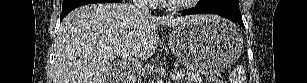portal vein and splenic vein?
Here are the masks:
<instances>
[{"instance_id": "1", "label": "portal vein and splenic vein", "mask_w": 307, "mask_h": 83, "mask_svg": "<svg viewBox=\"0 0 307 83\" xmlns=\"http://www.w3.org/2000/svg\"><path fill=\"white\" fill-rule=\"evenodd\" d=\"M105 53H106L107 55H109V56H112V55L126 56L124 52H122L121 50H118V49H107V50H105ZM131 61L133 62V64L135 65V67H136L137 69H141V65H140V63H139L137 60L132 59ZM183 77H184V76H183L181 73H175V74H173V75L171 76V78H172L173 80H175V79H176V80H177V79H181V78H183Z\"/></svg>"}]
</instances>
